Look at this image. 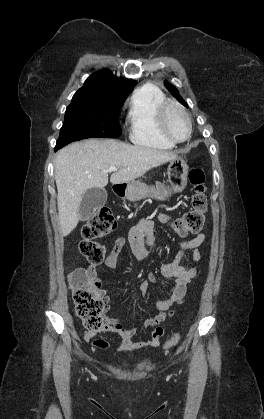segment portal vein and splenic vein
Returning <instances> with one entry per match:
<instances>
[{
	"instance_id": "1",
	"label": "portal vein and splenic vein",
	"mask_w": 264,
	"mask_h": 419,
	"mask_svg": "<svg viewBox=\"0 0 264 419\" xmlns=\"http://www.w3.org/2000/svg\"><path fill=\"white\" fill-rule=\"evenodd\" d=\"M116 170H117V168L115 166H110L106 171L107 172H113V171H116Z\"/></svg>"
}]
</instances>
